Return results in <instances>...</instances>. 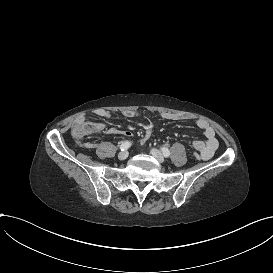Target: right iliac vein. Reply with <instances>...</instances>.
I'll list each match as a JSON object with an SVG mask.
<instances>
[{"label": "right iliac vein", "instance_id": "63e3f726", "mask_svg": "<svg viewBox=\"0 0 273 273\" xmlns=\"http://www.w3.org/2000/svg\"><path fill=\"white\" fill-rule=\"evenodd\" d=\"M128 157V152L127 151H122L118 154V159L119 160H125Z\"/></svg>", "mask_w": 273, "mask_h": 273}]
</instances>
